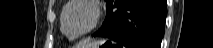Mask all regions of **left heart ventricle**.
Here are the masks:
<instances>
[{
	"label": "left heart ventricle",
	"instance_id": "b2bd125f",
	"mask_svg": "<svg viewBox=\"0 0 213 48\" xmlns=\"http://www.w3.org/2000/svg\"><path fill=\"white\" fill-rule=\"evenodd\" d=\"M94 19L93 9L86 4L71 6L65 16V28L70 33H80L90 27Z\"/></svg>",
	"mask_w": 213,
	"mask_h": 48
}]
</instances>
